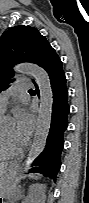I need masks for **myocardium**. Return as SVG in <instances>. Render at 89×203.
Wrapping results in <instances>:
<instances>
[{
	"label": "myocardium",
	"instance_id": "obj_1",
	"mask_svg": "<svg viewBox=\"0 0 89 203\" xmlns=\"http://www.w3.org/2000/svg\"><path fill=\"white\" fill-rule=\"evenodd\" d=\"M0 140H1V147L3 153L8 157V158H13V157H18L21 156L24 151L26 150L27 144H25L22 148L13 150L9 147L7 141L4 138L3 135V130L0 131Z\"/></svg>",
	"mask_w": 89,
	"mask_h": 203
}]
</instances>
